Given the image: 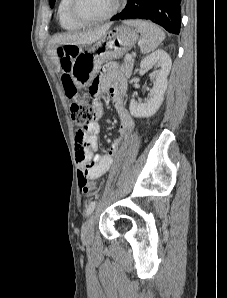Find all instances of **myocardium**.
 <instances>
[{
	"label": "myocardium",
	"mask_w": 227,
	"mask_h": 298,
	"mask_svg": "<svg viewBox=\"0 0 227 298\" xmlns=\"http://www.w3.org/2000/svg\"><path fill=\"white\" fill-rule=\"evenodd\" d=\"M76 3H77V0H70L69 8H68L69 15L75 22L83 26H87V25H95V24L103 23L105 21L110 20L120 10L122 0H115L113 8L106 15L97 19H85L80 17L76 12Z\"/></svg>",
	"instance_id": "obj_1"
}]
</instances>
